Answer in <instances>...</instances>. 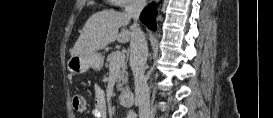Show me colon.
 I'll return each instance as SVG.
<instances>
[{
  "mask_svg": "<svg viewBox=\"0 0 273 118\" xmlns=\"http://www.w3.org/2000/svg\"><path fill=\"white\" fill-rule=\"evenodd\" d=\"M73 109L77 112H84L87 109V104L84 97L80 94H75L72 98Z\"/></svg>",
  "mask_w": 273,
  "mask_h": 118,
  "instance_id": "obj_1",
  "label": "colon"
}]
</instances>
